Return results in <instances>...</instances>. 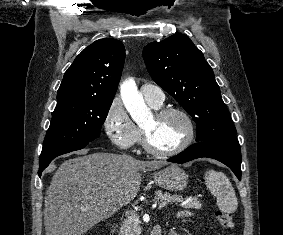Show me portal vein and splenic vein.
Masks as SVG:
<instances>
[{
	"label": "portal vein and splenic vein",
	"instance_id": "portal-vein-and-splenic-vein-1",
	"mask_svg": "<svg viewBox=\"0 0 283 235\" xmlns=\"http://www.w3.org/2000/svg\"><path fill=\"white\" fill-rule=\"evenodd\" d=\"M190 199H188L186 202H188ZM166 205L165 202H161L159 205H158V209H161L163 208L164 206ZM154 207V206H153ZM133 213V212H132Z\"/></svg>",
	"mask_w": 283,
	"mask_h": 235
}]
</instances>
